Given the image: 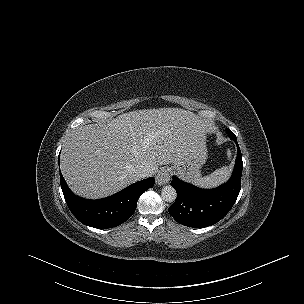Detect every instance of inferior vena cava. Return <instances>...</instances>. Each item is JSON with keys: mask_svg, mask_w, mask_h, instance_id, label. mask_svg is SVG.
Returning <instances> with one entry per match:
<instances>
[{"mask_svg": "<svg viewBox=\"0 0 304 304\" xmlns=\"http://www.w3.org/2000/svg\"><path fill=\"white\" fill-rule=\"evenodd\" d=\"M134 173H135V176H136L137 180H141V179L152 176V173L148 169H146L142 166L136 168L134 170Z\"/></svg>", "mask_w": 304, "mask_h": 304, "instance_id": "1", "label": "inferior vena cava"}]
</instances>
